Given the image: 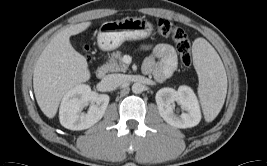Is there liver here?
I'll list each match as a JSON object with an SVG mask.
<instances>
[{"label":"liver","instance_id":"1","mask_svg":"<svg viewBox=\"0 0 267 166\" xmlns=\"http://www.w3.org/2000/svg\"><path fill=\"white\" fill-rule=\"evenodd\" d=\"M91 22L70 26L58 33L42 51L33 74L35 98L41 111L53 118L63 96L90 79L86 58L70 44L71 35L85 31Z\"/></svg>","mask_w":267,"mask_h":166}]
</instances>
